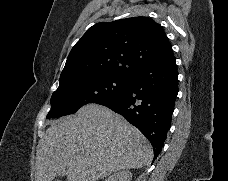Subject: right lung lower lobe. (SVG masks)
Wrapping results in <instances>:
<instances>
[{
    "instance_id": "98d812e1",
    "label": "right lung lower lobe",
    "mask_w": 228,
    "mask_h": 181,
    "mask_svg": "<svg viewBox=\"0 0 228 181\" xmlns=\"http://www.w3.org/2000/svg\"><path fill=\"white\" fill-rule=\"evenodd\" d=\"M178 94V72L173 52L133 74L124 92L102 105L137 127L160 154L171 125Z\"/></svg>"
}]
</instances>
